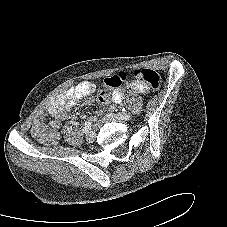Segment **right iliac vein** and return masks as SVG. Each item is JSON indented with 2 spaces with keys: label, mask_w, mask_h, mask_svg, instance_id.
Wrapping results in <instances>:
<instances>
[{
  "label": "right iliac vein",
  "mask_w": 227,
  "mask_h": 227,
  "mask_svg": "<svg viewBox=\"0 0 227 227\" xmlns=\"http://www.w3.org/2000/svg\"><path fill=\"white\" fill-rule=\"evenodd\" d=\"M95 138H96V133L94 131H90L88 132V134L86 135V140L89 142V143H92L95 141Z\"/></svg>",
  "instance_id": "63e3f726"
}]
</instances>
